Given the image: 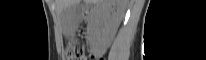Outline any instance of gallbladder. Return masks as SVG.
Segmentation results:
<instances>
[{
    "mask_svg": "<svg viewBox=\"0 0 206 60\" xmlns=\"http://www.w3.org/2000/svg\"><path fill=\"white\" fill-rule=\"evenodd\" d=\"M84 15V5L78 1L68 6L60 13V21L64 30L75 29L82 21Z\"/></svg>",
    "mask_w": 206,
    "mask_h": 60,
    "instance_id": "obj_1",
    "label": "gallbladder"
}]
</instances>
